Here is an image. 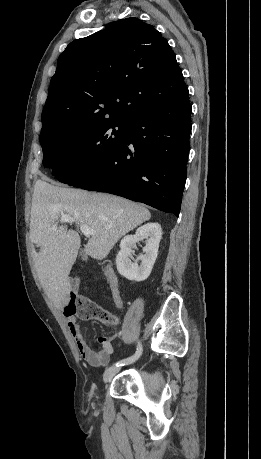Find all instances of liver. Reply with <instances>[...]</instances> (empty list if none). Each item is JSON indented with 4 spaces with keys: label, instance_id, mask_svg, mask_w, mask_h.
I'll use <instances>...</instances> for the list:
<instances>
[{
    "label": "liver",
    "instance_id": "1",
    "mask_svg": "<svg viewBox=\"0 0 261 459\" xmlns=\"http://www.w3.org/2000/svg\"><path fill=\"white\" fill-rule=\"evenodd\" d=\"M63 214L72 216L95 231L85 252L102 260L120 238L151 218L147 208L125 198L66 188L37 180L34 185L30 219V239L40 250L34 263L48 297L58 308L67 305L71 286L69 273L80 248V236L58 225Z\"/></svg>",
    "mask_w": 261,
    "mask_h": 459
}]
</instances>
